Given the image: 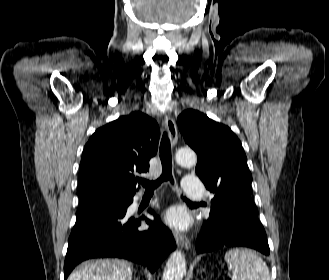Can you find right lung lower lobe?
<instances>
[{
  "mask_svg": "<svg viewBox=\"0 0 329 280\" xmlns=\"http://www.w3.org/2000/svg\"><path fill=\"white\" fill-rule=\"evenodd\" d=\"M132 202L133 195L124 197L122 203L106 202L78 215L68 241L64 280L77 264L98 257L125 258L153 273L175 249L171 232L160 222L126 216ZM143 219L151 226L138 231Z\"/></svg>",
  "mask_w": 329,
  "mask_h": 280,
  "instance_id": "right-lung-lower-lobe-1",
  "label": "right lung lower lobe"
}]
</instances>
